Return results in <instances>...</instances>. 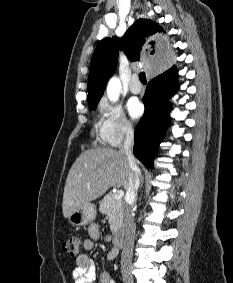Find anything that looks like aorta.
<instances>
[{
  "mask_svg": "<svg viewBox=\"0 0 233 283\" xmlns=\"http://www.w3.org/2000/svg\"><path fill=\"white\" fill-rule=\"evenodd\" d=\"M121 83L118 78L112 77L107 85V96L110 101L116 102L120 96Z\"/></svg>",
  "mask_w": 233,
  "mask_h": 283,
  "instance_id": "762f6f07",
  "label": "aorta"
}]
</instances>
